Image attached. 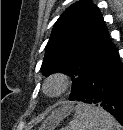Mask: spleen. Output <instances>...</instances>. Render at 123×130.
<instances>
[{"mask_svg": "<svg viewBox=\"0 0 123 130\" xmlns=\"http://www.w3.org/2000/svg\"><path fill=\"white\" fill-rule=\"evenodd\" d=\"M73 119L64 130H121V125L100 107L78 103Z\"/></svg>", "mask_w": 123, "mask_h": 130, "instance_id": "3e777b00", "label": "spleen"}]
</instances>
